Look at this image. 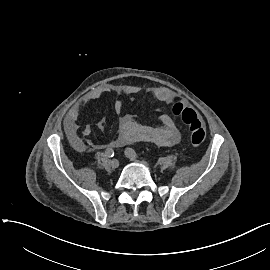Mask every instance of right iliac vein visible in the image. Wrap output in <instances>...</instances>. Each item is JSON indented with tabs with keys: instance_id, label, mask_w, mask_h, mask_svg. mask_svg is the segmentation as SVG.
<instances>
[{
	"instance_id": "obj_1",
	"label": "right iliac vein",
	"mask_w": 270,
	"mask_h": 270,
	"mask_svg": "<svg viewBox=\"0 0 270 270\" xmlns=\"http://www.w3.org/2000/svg\"><path fill=\"white\" fill-rule=\"evenodd\" d=\"M111 168L115 169L119 166V161L117 159H113L110 161Z\"/></svg>"
}]
</instances>
